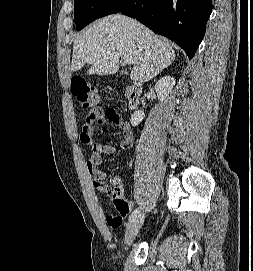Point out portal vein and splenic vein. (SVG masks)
<instances>
[{"label":"portal vein and splenic vein","instance_id":"18ae733b","mask_svg":"<svg viewBox=\"0 0 253 271\" xmlns=\"http://www.w3.org/2000/svg\"><path fill=\"white\" fill-rule=\"evenodd\" d=\"M123 60L126 64H132V61L127 57H123Z\"/></svg>","mask_w":253,"mask_h":271}]
</instances>
